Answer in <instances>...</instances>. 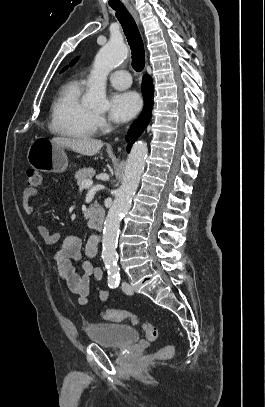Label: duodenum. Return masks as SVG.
Instances as JSON below:
<instances>
[{
	"instance_id": "1",
	"label": "duodenum",
	"mask_w": 265,
	"mask_h": 407,
	"mask_svg": "<svg viewBox=\"0 0 265 407\" xmlns=\"http://www.w3.org/2000/svg\"><path fill=\"white\" fill-rule=\"evenodd\" d=\"M105 213L102 209H96L88 217V224L91 228L102 230L104 226Z\"/></svg>"
}]
</instances>
